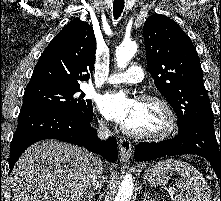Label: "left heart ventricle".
Segmentation results:
<instances>
[{
    "mask_svg": "<svg viewBox=\"0 0 221 201\" xmlns=\"http://www.w3.org/2000/svg\"><path fill=\"white\" fill-rule=\"evenodd\" d=\"M162 109L154 102H136L134 114L125 124L138 132H157L165 127Z\"/></svg>",
    "mask_w": 221,
    "mask_h": 201,
    "instance_id": "b2bd125f",
    "label": "left heart ventricle"
}]
</instances>
